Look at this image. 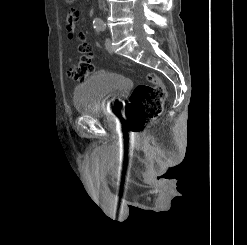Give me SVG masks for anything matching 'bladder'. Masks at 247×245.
Masks as SVG:
<instances>
[{
    "mask_svg": "<svg viewBox=\"0 0 247 245\" xmlns=\"http://www.w3.org/2000/svg\"><path fill=\"white\" fill-rule=\"evenodd\" d=\"M131 88L132 81L126 76L110 71H97L75 87L74 108L81 116L114 113Z\"/></svg>",
    "mask_w": 247,
    "mask_h": 245,
    "instance_id": "bladder-1",
    "label": "bladder"
}]
</instances>
